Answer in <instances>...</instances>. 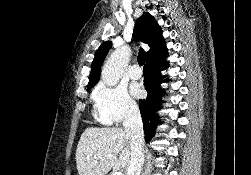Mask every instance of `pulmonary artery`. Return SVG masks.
<instances>
[{"mask_svg": "<svg viewBox=\"0 0 251 175\" xmlns=\"http://www.w3.org/2000/svg\"><path fill=\"white\" fill-rule=\"evenodd\" d=\"M129 73L132 78H139L142 75V70L136 64H134Z\"/></svg>", "mask_w": 251, "mask_h": 175, "instance_id": "obj_1", "label": "pulmonary artery"}]
</instances>
